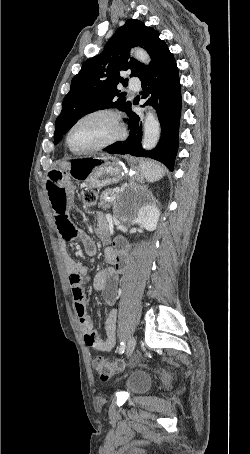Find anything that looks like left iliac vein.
Listing matches in <instances>:
<instances>
[{
    "instance_id": "4c4485c4",
    "label": "left iliac vein",
    "mask_w": 250,
    "mask_h": 454,
    "mask_svg": "<svg viewBox=\"0 0 250 454\" xmlns=\"http://www.w3.org/2000/svg\"><path fill=\"white\" fill-rule=\"evenodd\" d=\"M136 347V339L131 337L127 344V357H130Z\"/></svg>"
}]
</instances>
